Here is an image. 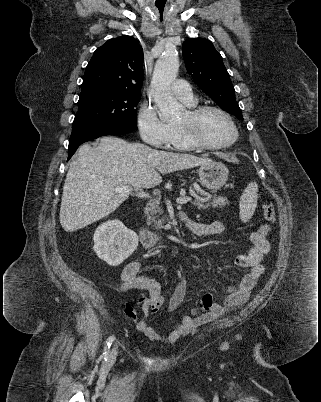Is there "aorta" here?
<instances>
[{
	"mask_svg": "<svg viewBox=\"0 0 321 402\" xmlns=\"http://www.w3.org/2000/svg\"><path fill=\"white\" fill-rule=\"evenodd\" d=\"M179 69L178 53L167 50L156 62L151 81V96L159 109L162 120L178 117L184 107L171 95L170 87Z\"/></svg>",
	"mask_w": 321,
	"mask_h": 402,
	"instance_id": "aorta-1",
	"label": "aorta"
}]
</instances>
